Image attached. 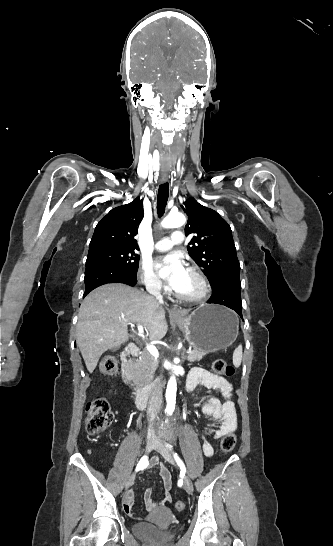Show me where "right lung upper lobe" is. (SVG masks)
Returning <instances> with one entry per match:
<instances>
[{"label":"right lung upper lobe","instance_id":"1","mask_svg":"<svg viewBox=\"0 0 333 546\" xmlns=\"http://www.w3.org/2000/svg\"><path fill=\"white\" fill-rule=\"evenodd\" d=\"M143 217V201L139 198L112 209L97 224L89 244V251L103 247L138 249L134 237Z\"/></svg>","mask_w":333,"mask_h":546}]
</instances>
